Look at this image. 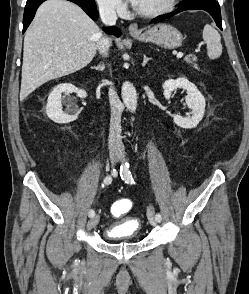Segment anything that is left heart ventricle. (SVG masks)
<instances>
[{
  "label": "left heart ventricle",
  "instance_id": "b2bd125f",
  "mask_svg": "<svg viewBox=\"0 0 249 294\" xmlns=\"http://www.w3.org/2000/svg\"><path fill=\"white\" fill-rule=\"evenodd\" d=\"M171 0H136V5L146 11L163 8L169 4Z\"/></svg>",
  "mask_w": 249,
  "mask_h": 294
}]
</instances>
